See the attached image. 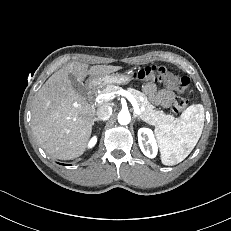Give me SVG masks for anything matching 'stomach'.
Instances as JSON below:
<instances>
[{
  "instance_id": "1",
  "label": "stomach",
  "mask_w": 231,
  "mask_h": 231,
  "mask_svg": "<svg viewBox=\"0 0 231 231\" xmlns=\"http://www.w3.org/2000/svg\"><path fill=\"white\" fill-rule=\"evenodd\" d=\"M131 81L128 73H115L102 76H94L90 79V84L96 87H103L107 84H127Z\"/></svg>"
}]
</instances>
